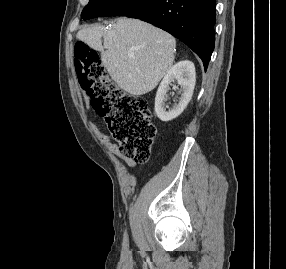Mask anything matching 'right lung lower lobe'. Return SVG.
I'll use <instances>...</instances> for the list:
<instances>
[{
  "label": "right lung lower lobe",
  "mask_w": 286,
  "mask_h": 269,
  "mask_svg": "<svg viewBox=\"0 0 286 269\" xmlns=\"http://www.w3.org/2000/svg\"><path fill=\"white\" fill-rule=\"evenodd\" d=\"M216 0H151L127 17L151 23L188 45L205 70L215 45Z\"/></svg>",
  "instance_id": "98d812e1"
}]
</instances>
